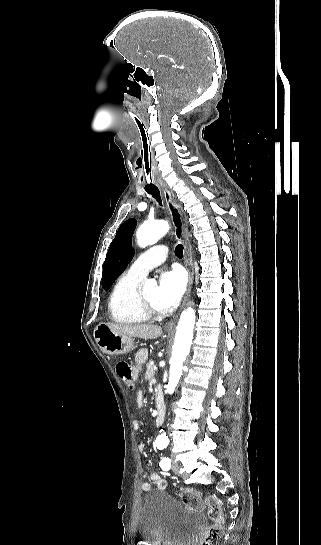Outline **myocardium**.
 <instances>
[{
  "instance_id": "myocardium-1",
  "label": "myocardium",
  "mask_w": 321,
  "mask_h": 545,
  "mask_svg": "<svg viewBox=\"0 0 321 545\" xmlns=\"http://www.w3.org/2000/svg\"><path fill=\"white\" fill-rule=\"evenodd\" d=\"M141 285H138L135 293H134V299H135V305L137 309L144 315L152 318L157 317L160 315V311L157 309H154L152 307H149L145 304V302L141 299L140 292H141Z\"/></svg>"
}]
</instances>
